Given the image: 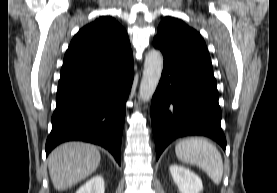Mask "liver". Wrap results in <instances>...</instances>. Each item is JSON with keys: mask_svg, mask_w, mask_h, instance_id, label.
I'll return each mask as SVG.
<instances>
[{"mask_svg": "<svg viewBox=\"0 0 277 193\" xmlns=\"http://www.w3.org/2000/svg\"><path fill=\"white\" fill-rule=\"evenodd\" d=\"M101 155L96 146L68 142L55 148L48 157V169L54 188L65 190L90 176L98 167Z\"/></svg>", "mask_w": 277, "mask_h": 193, "instance_id": "6515ba94", "label": "liver"}]
</instances>
